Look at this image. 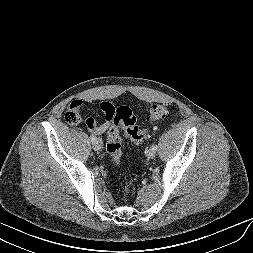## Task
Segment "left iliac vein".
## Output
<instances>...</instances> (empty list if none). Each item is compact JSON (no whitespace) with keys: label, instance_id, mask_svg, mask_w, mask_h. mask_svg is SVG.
I'll use <instances>...</instances> for the list:
<instances>
[{"label":"left iliac vein","instance_id":"left-iliac-vein-1","mask_svg":"<svg viewBox=\"0 0 253 253\" xmlns=\"http://www.w3.org/2000/svg\"><path fill=\"white\" fill-rule=\"evenodd\" d=\"M146 156L150 159H153L156 156V150H153L152 148H149L146 150Z\"/></svg>","mask_w":253,"mask_h":253}]
</instances>
